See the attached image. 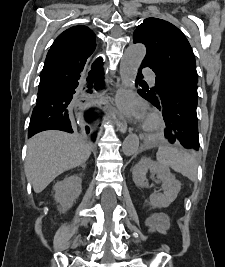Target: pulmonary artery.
Returning a JSON list of instances; mask_svg holds the SVG:
<instances>
[{
	"instance_id": "pulmonary-artery-1",
	"label": "pulmonary artery",
	"mask_w": 225,
	"mask_h": 267,
	"mask_svg": "<svg viewBox=\"0 0 225 267\" xmlns=\"http://www.w3.org/2000/svg\"><path fill=\"white\" fill-rule=\"evenodd\" d=\"M143 72L147 76V78L149 79L150 83L152 85H154L155 84V78H156L154 71L149 69V68H145Z\"/></svg>"
}]
</instances>
